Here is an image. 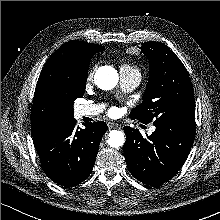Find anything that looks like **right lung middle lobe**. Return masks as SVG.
I'll return each mask as SVG.
<instances>
[{
  "instance_id": "right-lung-middle-lobe-1",
  "label": "right lung middle lobe",
  "mask_w": 220,
  "mask_h": 220,
  "mask_svg": "<svg viewBox=\"0 0 220 220\" xmlns=\"http://www.w3.org/2000/svg\"><path fill=\"white\" fill-rule=\"evenodd\" d=\"M89 63L68 68L61 78L60 94L70 118H73L75 99L84 95Z\"/></svg>"
}]
</instances>
